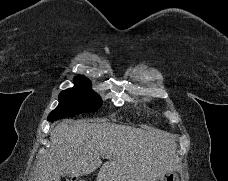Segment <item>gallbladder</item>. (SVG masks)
I'll return each mask as SVG.
<instances>
[{
	"mask_svg": "<svg viewBox=\"0 0 228 181\" xmlns=\"http://www.w3.org/2000/svg\"><path fill=\"white\" fill-rule=\"evenodd\" d=\"M68 173H62V177H67Z\"/></svg>",
	"mask_w": 228,
	"mask_h": 181,
	"instance_id": "obj_1",
	"label": "gallbladder"
}]
</instances>
